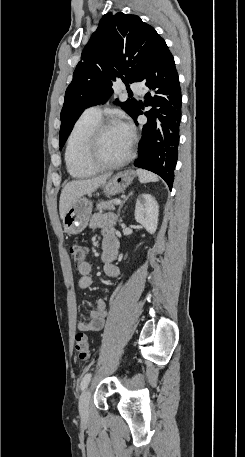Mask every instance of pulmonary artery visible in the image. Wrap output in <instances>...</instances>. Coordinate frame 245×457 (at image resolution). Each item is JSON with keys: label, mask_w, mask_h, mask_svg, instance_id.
Masks as SVG:
<instances>
[{"label": "pulmonary artery", "mask_w": 245, "mask_h": 457, "mask_svg": "<svg viewBox=\"0 0 245 457\" xmlns=\"http://www.w3.org/2000/svg\"><path fill=\"white\" fill-rule=\"evenodd\" d=\"M128 86H129L130 90H137L135 92V95L137 96V99L139 101H142L144 99V96L142 95V92L140 91L143 86L141 81H130ZM101 113H102V111L98 106H91L83 112V114H85V115H90V116L99 117V118L101 116Z\"/></svg>", "instance_id": "pulmonary-artery-1"}]
</instances>
